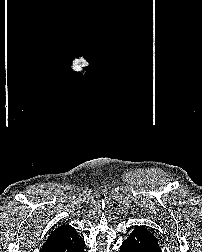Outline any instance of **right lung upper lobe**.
Masks as SVG:
<instances>
[{
	"mask_svg": "<svg viewBox=\"0 0 202 252\" xmlns=\"http://www.w3.org/2000/svg\"><path fill=\"white\" fill-rule=\"evenodd\" d=\"M83 242L72 226L63 224L50 234L40 252H76Z\"/></svg>",
	"mask_w": 202,
	"mask_h": 252,
	"instance_id": "cb5924a9",
	"label": "right lung upper lobe"
}]
</instances>
